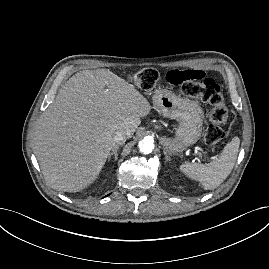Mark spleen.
<instances>
[{"label": "spleen", "instance_id": "obj_1", "mask_svg": "<svg viewBox=\"0 0 269 269\" xmlns=\"http://www.w3.org/2000/svg\"><path fill=\"white\" fill-rule=\"evenodd\" d=\"M240 139L234 137L221 155L208 164L185 162L180 170L186 176L201 183L205 190L217 188L231 173L239 151Z\"/></svg>", "mask_w": 269, "mask_h": 269}]
</instances>
